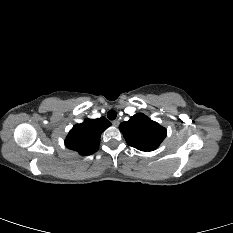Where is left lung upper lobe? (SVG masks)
Segmentation results:
<instances>
[{"label":"left lung upper lobe","mask_w":233,"mask_h":233,"mask_svg":"<svg viewBox=\"0 0 233 233\" xmlns=\"http://www.w3.org/2000/svg\"><path fill=\"white\" fill-rule=\"evenodd\" d=\"M128 145L141 151H153L164 140L167 130L143 113H138L119 126Z\"/></svg>","instance_id":"1"}]
</instances>
